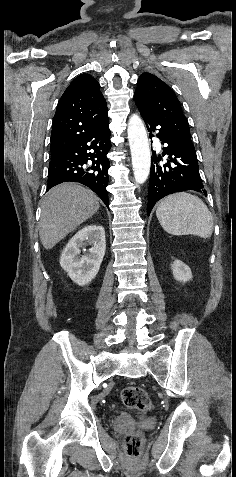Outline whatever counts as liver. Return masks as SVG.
<instances>
[{
    "label": "liver",
    "instance_id": "liver-1",
    "mask_svg": "<svg viewBox=\"0 0 236 477\" xmlns=\"http://www.w3.org/2000/svg\"><path fill=\"white\" fill-rule=\"evenodd\" d=\"M99 198L91 190L63 183L48 191L42 202L39 236L45 249L53 248L99 209Z\"/></svg>",
    "mask_w": 236,
    "mask_h": 477
}]
</instances>
